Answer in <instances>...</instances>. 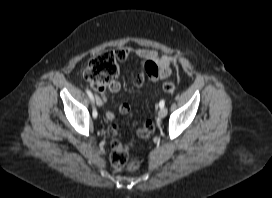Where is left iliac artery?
<instances>
[{
	"label": "left iliac artery",
	"mask_w": 272,
	"mask_h": 198,
	"mask_svg": "<svg viewBox=\"0 0 272 198\" xmlns=\"http://www.w3.org/2000/svg\"><path fill=\"white\" fill-rule=\"evenodd\" d=\"M164 105H165V101L161 100L160 103H159L160 108H164Z\"/></svg>",
	"instance_id": "44dca946"
}]
</instances>
